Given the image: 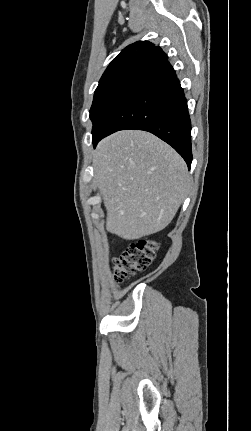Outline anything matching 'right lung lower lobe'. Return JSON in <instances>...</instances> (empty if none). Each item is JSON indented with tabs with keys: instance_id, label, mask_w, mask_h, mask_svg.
Here are the masks:
<instances>
[{
	"instance_id": "right-lung-lower-lobe-1",
	"label": "right lung lower lobe",
	"mask_w": 251,
	"mask_h": 431,
	"mask_svg": "<svg viewBox=\"0 0 251 431\" xmlns=\"http://www.w3.org/2000/svg\"><path fill=\"white\" fill-rule=\"evenodd\" d=\"M125 129L153 133L171 145L190 169L191 121L187 101L175 70L162 50L150 61L102 134L93 139L94 146L102 138Z\"/></svg>"
}]
</instances>
